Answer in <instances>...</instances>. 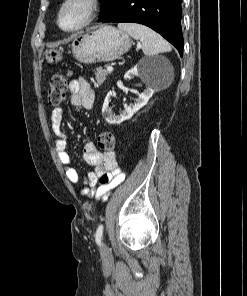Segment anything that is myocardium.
<instances>
[{
	"label": "myocardium",
	"mask_w": 247,
	"mask_h": 296,
	"mask_svg": "<svg viewBox=\"0 0 247 296\" xmlns=\"http://www.w3.org/2000/svg\"><path fill=\"white\" fill-rule=\"evenodd\" d=\"M75 3L81 4L84 6V8H85L84 17L78 25H76L72 28H66L62 25L63 12L65 11V9L68 6L75 4ZM98 9H99L98 0H64L58 10L57 25L60 30L67 32V33H73V32L80 31V30L84 29L85 27H87L94 20V18L96 17V14L98 12Z\"/></svg>",
	"instance_id": "1"
}]
</instances>
